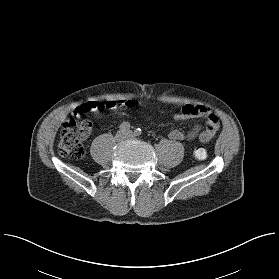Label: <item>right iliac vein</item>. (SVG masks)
I'll use <instances>...</instances> for the list:
<instances>
[{"label": "right iliac vein", "mask_w": 279, "mask_h": 279, "mask_svg": "<svg viewBox=\"0 0 279 279\" xmlns=\"http://www.w3.org/2000/svg\"><path fill=\"white\" fill-rule=\"evenodd\" d=\"M125 137H126V135H125V133L122 132V131H118V132L116 133V136H115L117 142L123 141V140L125 139Z\"/></svg>", "instance_id": "right-iliac-vein-1"}]
</instances>
